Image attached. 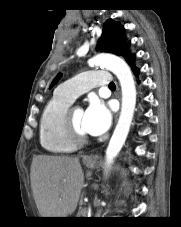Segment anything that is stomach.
<instances>
[{
	"instance_id": "1",
	"label": "stomach",
	"mask_w": 181,
	"mask_h": 227,
	"mask_svg": "<svg viewBox=\"0 0 181 227\" xmlns=\"http://www.w3.org/2000/svg\"><path fill=\"white\" fill-rule=\"evenodd\" d=\"M84 164L86 165L87 168H90V169H93L97 166L96 160L84 161Z\"/></svg>"
}]
</instances>
